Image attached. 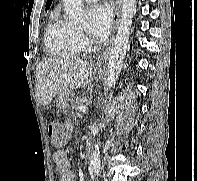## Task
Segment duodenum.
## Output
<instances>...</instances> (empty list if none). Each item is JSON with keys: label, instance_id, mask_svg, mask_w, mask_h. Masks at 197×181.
Returning a JSON list of instances; mask_svg holds the SVG:
<instances>
[{"label": "duodenum", "instance_id": "obj_1", "mask_svg": "<svg viewBox=\"0 0 197 181\" xmlns=\"http://www.w3.org/2000/svg\"><path fill=\"white\" fill-rule=\"evenodd\" d=\"M86 150H87V154H88V156H90V154H91V150H92L90 140H88V141H87V143H86Z\"/></svg>", "mask_w": 197, "mask_h": 181}]
</instances>
